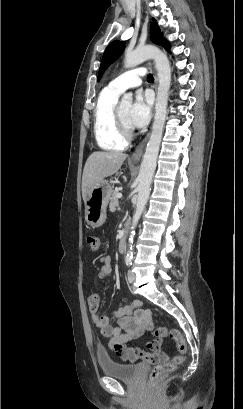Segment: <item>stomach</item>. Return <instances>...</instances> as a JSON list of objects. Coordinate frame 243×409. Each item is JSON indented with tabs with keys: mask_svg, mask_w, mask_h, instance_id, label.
Masks as SVG:
<instances>
[{
	"mask_svg": "<svg viewBox=\"0 0 243 409\" xmlns=\"http://www.w3.org/2000/svg\"><path fill=\"white\" fill-rule=\"evenodd\" d=\"M112 196L107 180L95 185L85 199V219L93 228L100 227L106 220V208Z\"/></svg>",
	"mask_w": 243,
	"mask_h": 409,
	"instance_id": "1",
	"label": "stomach"
}]
</instances>
